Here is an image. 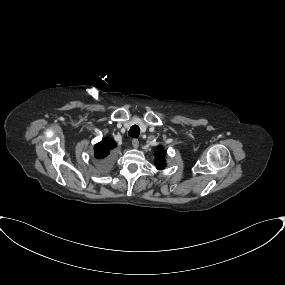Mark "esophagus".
Wrapping results in <instances>:
<instances>
[{
	"mask_svg": "<svg viewBox=\"0 0 285 285\" xmlns=\"http://www.w3.org/2000/svg\"><path fill=\"white\" fill-rule=\"evenodd\" d=\"M132 146H133L134 148H137V147L139 146V141H138L137 139H133V140H132Z\"/></svg>",
	"mask_w": 285,
	"mask_h": 285,
	"instance_id": "obj_1",
	"label": "esophagus"
}]
</instances>
